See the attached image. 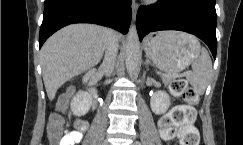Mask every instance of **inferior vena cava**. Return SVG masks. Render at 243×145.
Instances as JSON below:
<instances>
[{"label": "inferior vena cava", "mask_w": 243, "mask_h": 145, "mask_svg": "<svg viewBox=\"0 0 243 145\" xmlns=\"http://www.w3.org/2000/svg\"><path fill=\"white\" fill-rule=\"evenodd\" d=\"M118 51V38L114 31L110 30L105 46V56L101 65V70L106 76H110L114 70L116 55Z\"/></svg>", "instance_id": "1"}]
</instances>
